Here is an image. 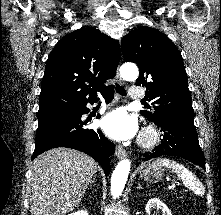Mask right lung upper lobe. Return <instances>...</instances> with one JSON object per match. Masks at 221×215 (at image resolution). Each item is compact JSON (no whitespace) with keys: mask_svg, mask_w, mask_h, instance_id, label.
<instances>
[{"mask_svg":"<svg viewBox=\"0 0 221 215\" xmlns=\"http://www.w3.org/2000/svg\"><path fill=\"white\" fill-rule=\"evenodd\" d=\"M120 45L94 28L64 36L51 51L41 84L38 118L70 113L106 93L107 79L115 76Z\"/></svg>","mask_w":221,"mask_h":215,"instance_id":"1","label":"right lung upper lobe"}]
</instances>
